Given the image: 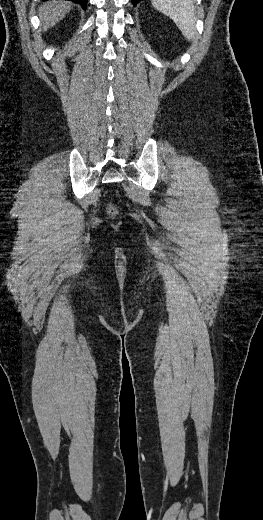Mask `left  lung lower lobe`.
Listing matches in <instances>:
<instances>
[{
    "instance_id": "1",
    "label": "left lung lower lobe",
    "mask_w": 263,
    "mask_h": 520,
    "mask_svg": "<svg viewBox=\"0 0 263 520\" xmlns=\"http://www.w3.org/2000/svg\"><path fill=\"white\" fill-rule=\"evenodd\" d=\"M140 0H132L133 4L136 5Z\"/></svg>"
}]
</instances>
